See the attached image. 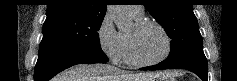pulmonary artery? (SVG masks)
Instances as JSON below:
<instances>
[{
  "label": "pulmonary artery",
  "instance_id": "1",
  "mask_svg": "<svg viewBox=\"0 0 237 81\" xmlns=\"http://www.w3.org/2000/svg\"><path fill=\"white\" fill-rule=\"evenodd\" d=\"M128 10L130 13L142 16L144 14L143 8L141 6H128Z\"/></svg>",
  "mask_w": 237,
  "mask_h": 81
}]
</instances>
